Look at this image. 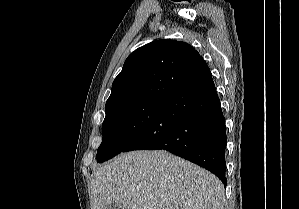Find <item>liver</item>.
<instances>
[{"label":"liver","instance_id":"liver-1","mask_svg":"<svg viewBox=\"0 0 299 209\" xmlns=\"http://www.w3.org/2000/svg\"><path fill=\"white\" fill-rule=\"evenodd\" d=\"M93 209H223L224 188L209 171L165 150L118 155L91 175Z\"/></svg>","mask_w":299,"mask_h":209}]
</instances>
